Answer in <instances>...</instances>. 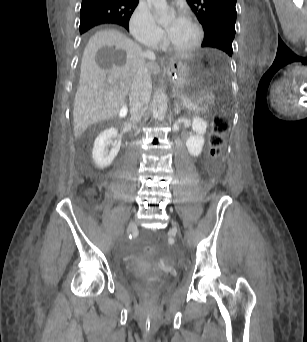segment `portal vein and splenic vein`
<instances>
[{"mask_svg":"<svg viewBox=\"0 0 307 342\" xmlns=\"http://www.w3.org/2000/svg\"><path fill=\"white\" fill-rule=\"evenodd\" d=\"M186 109L188 108V109H190L191 108V106H190V104H186L185 106H184Z\"/></svg>","mask_w":307,"mask_h":342,"instance_id":"1","label":"portal vein and splenic vein"}]
</instances>
